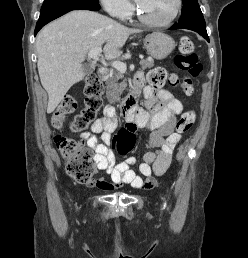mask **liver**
<instances>
[{
    "label": "liver",
    "mask_w": 248,
    "mask_h": 258,
    "mask_svg": "<svg viewBox=\"0 0 248 258\" xmlns=\"http://www.w3.org/2000/svg\"><path fill=\"white\" fill-rule=\"evenodd\" d=\"M139 32L86 10L72 11L45 26L35 45L40 81L48 93L47 113H52L70 87L84 78L82 63L92 49H101L105 43V57L117 58L129 35Z\"/></svg>",
    "instance_id": "1"
}]
</instances>
